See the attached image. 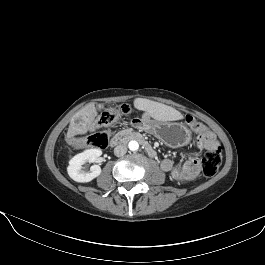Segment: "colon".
<instances>
[{"label":"colon","mask_w":265,"mask_h":265,"mask_svg":"<svg viewBox=\"0 0 265 265\" xmlns=\"http://www.w3.org/2000/svg\"><path fill=\"white\" fill-rule=\"evenodd\" d=\"M133 112L131 106L123 104L118 107H110L104 111L92 124L91 134L86 139L88 147L103 149L107 146L110 132L107 129L114 124L121 116L130 115ZM188 125L196 132H203L205 125L196 121L192 116L186 117ZM222 164V150L219 146L206 150L201 161L202 173L205 177L214 176Z\"/></svg>","instance_id":"5ec220e1"}]
</instances>
